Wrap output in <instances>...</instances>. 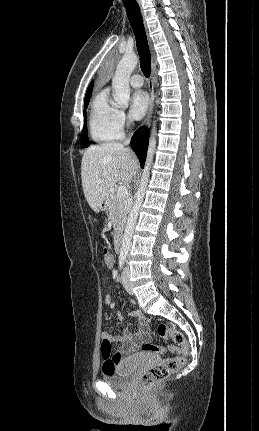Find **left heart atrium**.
Listing matches in <instances>:
<instances>
[{
	"label": "left heart atrium",
	"mask_w": 259,
	"mask_h": 431,
	"mask_svg": "<svg viewBox=\"0 0 259 431\" xmlns=\"http://www.w3.org/2000/svg\"><path fill=\"white\" fill-rule=\"evenodd\" d=\"M149 107V97L145 91H135L131 96L130 111L135 119H141Z\"/></svg>",
	"instance_id": "39dd6f15"
}]
</instances>
